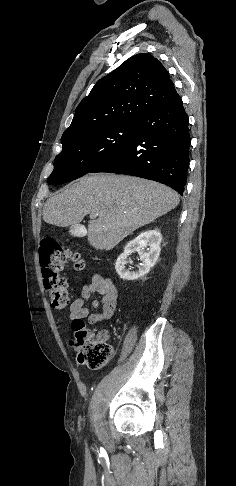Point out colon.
<instances>
[{
  "label": "colon",
  "mask_w": 236,
  "mask_h": 486,
  "mask_svg": "<svg viewBox=\"0 0 236 486\" xmlns=\"http://www.w3.org/2000/svg\"><path fill=\"white\" fill-rule=\"evenodd\" d=\"M39 254L43 283L51 307L56 310L64 309L69 303V296L67 284L59 276V271L67 260L74 263L76 270H82L84 261L78 252L60 246L53 239H47L42 243ZM72 330L71 344L77 353L78 361L93 369L103 367L112 353L111 346L106 340L90 332L82 319L72 322Z\"/></svg>",
  "instance_id": "5ec220e1"
}]
</instances>
